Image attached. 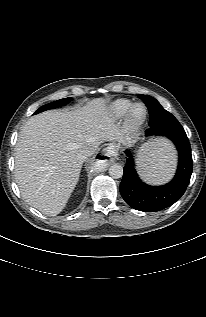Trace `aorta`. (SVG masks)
I'll return each mask as SVG.
<instances>
[{
  "instance_id": "762f6f07",
  "label": "aorta",
  "mask_w": 206,
  "mask_h": 317,
  "mask_svg": "<svg viewBox=\"0 0 206 317\" xmlns=\"http://www.w3.org/2000/svg\"><path fill=\"white\" fill-rule=\"evenodd\" d=\"M109 175L114 179H119L123 176V167L120 164H112L109 168Z\"/></svg>"
}]
</instances>
